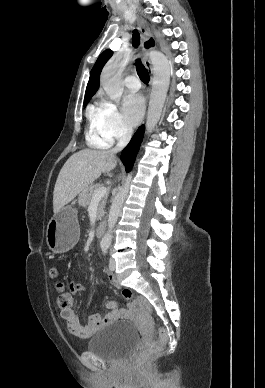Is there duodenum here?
Instances as JSON below:
<instances>
[{"mask_svg":"<svg viewBox=\"0 0 265 388\" xmlns=\"http://www.w3.org/2000/svg\"><path fill=\"white\" fill-rule=\"evenodd\" d=\"M106 227H107L106 221H101L96 228V235L98 237H102L106 231Z\"/></svg>","mask_w":265,"mask_h":388,"instance_id":"obj_1","label":"duodenum"}]
</instances>
